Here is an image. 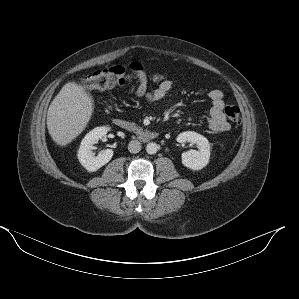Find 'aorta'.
Listing matches in <instances>:
<instances>
[{"label":"aorta","instance_id":"762f6f07","mask_svg":"<svg viewBox=\"0 0 299 299\" xmlns=\"http://www.w3.org/2000/svg\"><path fill=\"white\" fill-rule=\"evenodd\" d=\"M158 151V145L154 142H150L146 146V152L148 154H155Z\"/></svg>","mask_w":299,"mask_h":299}]
</instances>
